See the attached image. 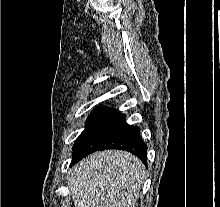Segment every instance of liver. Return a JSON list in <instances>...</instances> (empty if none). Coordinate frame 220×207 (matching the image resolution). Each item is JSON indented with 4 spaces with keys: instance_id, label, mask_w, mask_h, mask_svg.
<instances>
[{
    "instance_id": "6515ba94",
    "label": "liver",
    "mask_w": 220,
    "mask_h": 207,
    "mask_svg": "<svg viewBox=\"0 0 220 207\" xmlns=\"http://www.w3.org/2000/svg\"><path fill=\"white\" fill-rule=\"evenodd\" d=\"M145 177V167L137 157L106 150L77 163L68 186L75 207H135Z\"/></svg>"
}]
</instances>
